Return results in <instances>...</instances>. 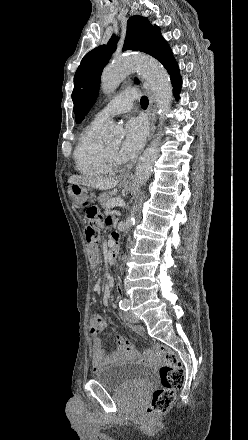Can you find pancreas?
Returning a JSON list of instances; mask_svg holds the SVG:
<instances>
[{"label": "pancreas", "mask_w": 248, "mask_h": 440, "mask_svg": "<svg viewBox=\"0 0 248 440\" xmlns=\"http://www.w3.org/2000/svg\"><path fill=\"white\" fill-rule=\"evenodd\" d=\"M111 199H113L112 194L104 193L98 197V202L100 203V205L103 208H105V207L108 208V205H109V202Z\"/></svg>", "instance_id": "cf45deb5"}]
</instances>
